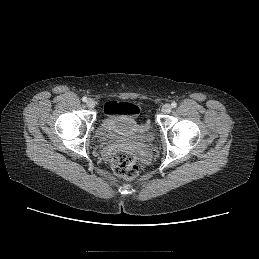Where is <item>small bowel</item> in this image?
<instances>
[{
    "instance_id": "1",
    "label": "small bowel",
    "mask_w": 259,
    "mask_h": 259,
    "mask_svg": "<svg viewBox=\"0 0 259 259\" xmlns=\"http://www.w3.org/2000/svg\"><path fill=\"white\" fill-rule=\"evenodd\" d=\"M124 104H129V103H119L116 101H109L105 104L104 106V111L108 116H118V115H126L123 111H122V106ZM132 106H134V108L136 109V112L133 113L132 115H136L138 113V108L137 106L131 104Z\"/></svg>"
}]
</instances>
